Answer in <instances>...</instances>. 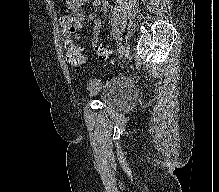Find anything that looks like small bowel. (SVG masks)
<instances>
[{"label": "small bowel", "instance_id": "obj_1", "mask_svg": "<svg viewBox=\"0 0 219 192\" xmlns=\"http://www.w3.org/2000/svg\"><path fill=\"white\" fill-rule=\"evenodd\" d=\"M87 0H65L66 14L60 17L59 24L62 28V36L66 38L71 34V39L77 41L80 39L79 31L83 25L88 22L93 26L94 38L93 44L97 42L100 33L101 19L96 15L87 17L83 10V5ZM95 9L102 13L109 10V3L107 0H92ZM83 52L81 47H76Z\"/></svg>", "mask_w": 219, "mask_h": 192}]
</instances>
